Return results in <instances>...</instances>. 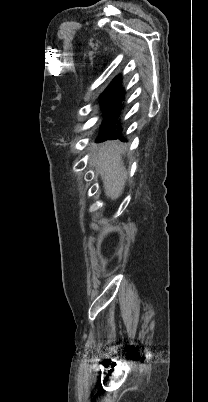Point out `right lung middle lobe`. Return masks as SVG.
Returning a JSON list of instances; mask_svg holds the SVG:
<instances>
[{"label": "right lung middle lobe", "mask_w": 208, "mask_h": 402, "mask_svg": "<svg viewBox=\"0 0 208 402\" xmlns=\"http://www.w3.org/2000/svg\"><path fill=\"white\" fill-rule=\"evenodd\" d=\"M102 106L106 107V118L104 121L109 120L110 124L114 125L112 121H114L121 106L119 91L107 89L102 96Z\"/></svg>", "instance_id": "1"}]
</instances>
